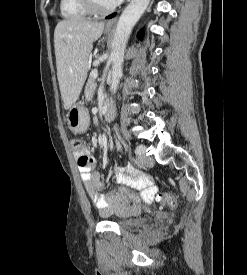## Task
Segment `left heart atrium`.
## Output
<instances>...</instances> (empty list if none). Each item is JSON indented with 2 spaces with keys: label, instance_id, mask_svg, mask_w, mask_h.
Here are the masks:
<instances>
[{
  "label": "left heart atrium",
  "instance_id": "left-heart-atrium-1",
  "mask_svg": "<svg viewBox=\"0 0 247 275\" xmlns=\"http://www.w3.org/2000/svg\"><path fill=\"white\" fill-rule=\"evenodd\" d=\"M113 1V5H117L119 4L120 2H122L123 0H112Z\"/></svg>",
  "mask_w": 247,
  "mask_h": 275
}]
</instances>
